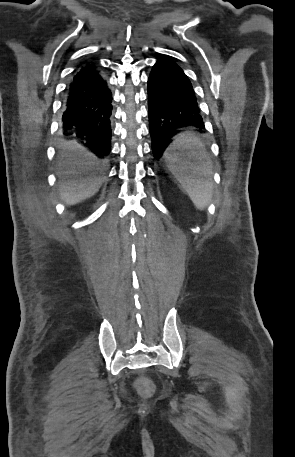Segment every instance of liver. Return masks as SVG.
Here are the masks:
<instances>
[{"instance_id":"6515ba94","label":"liver","mask_w":295,"mask_h":457,"mask_svg":"<svg viewBox=\"0 0 295 457\" xmlns=\"http://www.w3.org/2000/svg\"><path fill=\"white\" fill-rule=\"evenodd\" d=\"M73 158L64 153L58 162V176L61 181V199L68 205L79 203L94 195L100 188L102 179L83 176L95 165L94 156L77 147Z\"/></svg>"}]
</instances>
